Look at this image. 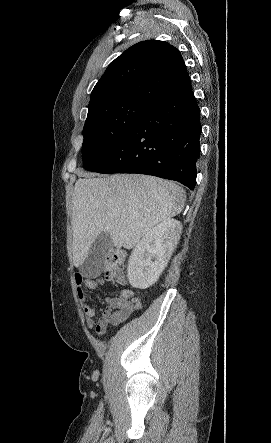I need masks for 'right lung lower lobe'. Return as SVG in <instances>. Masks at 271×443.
Listing matches in <instances>:
<instances>
[{"label":"right lung lower lobe","mask_w":271,"mask_h":443,"mask_svg":"<svg viewBox=\"0 0 271 443\" xmlns=\"http://www.w3.org/2000/svg\"><path fill=\"white\" fill-rule=\"evenodd\" d=\"M200 133V109L190 87L152 102L110 158L93 172L153 175L193 190Z\"/></svg>","instance_id":"right-lung-lower-lobe-1"}]
</instances>
